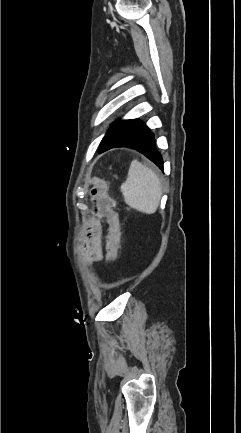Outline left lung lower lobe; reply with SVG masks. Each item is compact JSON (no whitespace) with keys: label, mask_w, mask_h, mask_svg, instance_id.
Masks as SVG:
<instances>
[{"label":"left lung lower lobe","mask_w":241,"mask_h":433,"mask_svg":"<svg viewBox=\"0 0 241 433\" xmlns=\"http://www.w3.org/2000/svg\"><path fill=\"white\" fill-rule=\"evenodd\" d=\"M122 147H131L138 150L163 170V159L156 149L154 134L150 131L144 136L135 139Z\"/></svg>","instance_id":"obj_1"}]
</instances>
